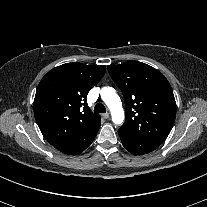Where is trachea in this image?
Segmentation results:
<instances>
[{
  "label": "trachea",
  "instance_id": "obj_1",
  "mask_svg": "<svg viewBox=\"0 0 207 207\" xmlns=\"http://www.w3.org/2000/svg\"><path fill=\"white\" fill-rule=\"evenodd\" d=\"M94 112L96 113H105L106 108L102 103H98L95 105Z\"/></svg>",
  "mask_w": 207,
  "mask_h": 207
}]
</instances>
